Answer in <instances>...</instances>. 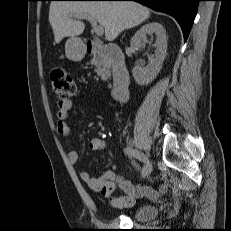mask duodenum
I'll return each mask as SVG.
<instances>
[{
  "label": "duodenum",
  "instance_id": "obj_1",
  "mask_svg": "<svg viewBox=\"0 0 231 231\" xmlns=\"http://www.w3.org/2000/svg\"><path fill=\"white\" fill-rule=\"evenodd\" d=\"M86 52L92 56H103L113 65V97L116 101H125L128 95L130 74L125 56L114 43L101 44L95 40L85 43Z\"/></svg>",
  "mask_w": 231,
  "mask_h": 231
}]
</instances>
